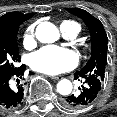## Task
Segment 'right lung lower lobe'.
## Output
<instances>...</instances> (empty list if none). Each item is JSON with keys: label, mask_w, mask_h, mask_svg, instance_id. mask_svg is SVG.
Masks as SVG:
<instances>
[{"label": "right lung lower lobe", "mask_w": 117, "mask_h": 117, "mask_svg": "<svg viewBox=\"0 0 117 117\" xmlns=\"http://www.w3.org/2000/svg\"><path fill=\"white\" fill-rule=\"evenodd\" d=\"M26 66L22 64L19 67H14L10 70L0 69V108L14 109L23 104L24 101V86L18 85L17 88L10 86L11 79L22 78ZM32 74V72H30ZM18 83L19 80L17 79Z\"/></svg>", "instance_id": "1"}]
</instances>
